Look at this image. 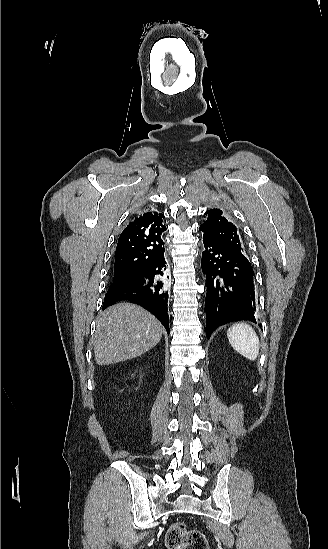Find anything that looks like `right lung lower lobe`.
<instances>
[{
  "mask_svg": "<svg viewBox=\"0 0 328 549\" xmlns=\"http://www.w3.org/2000/svg\"><path fill=\"white\" fill-rule=\"evenodd\" d=\"M164 252L156 260L121 283L110 286L103 309L121 300H130L155 315L169 334L168 292Z\"/></svg>",
  "mask_w": 328,
  "mask_h": 549,
  "instance_id": "obj_1",
  "label": "right lung lower lobe"
}]
</instances>
